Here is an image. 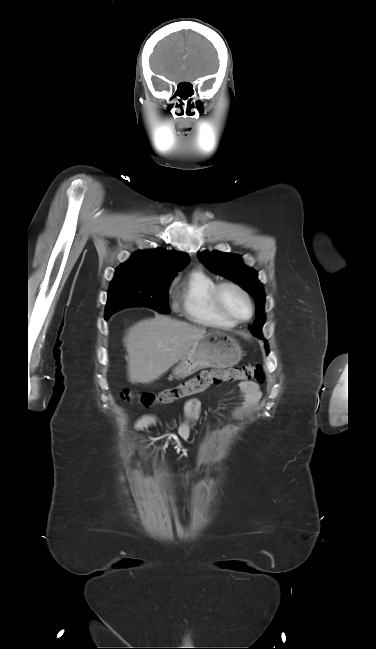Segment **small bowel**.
<instances>
[{
  "label": "small bowel",
  "instance_id": "small-bowel-1",
  "mask_svg": "<svg viewBox=\"0 0 376 649\" xmlns=\"http://www.w3.org/2000/svg\"><path fill=\"white\" fill-rule=\"evenodd\" d=\"M241 395V406L243 411L255 408L261 398L262 392L260 386L254 381H243L239 384ZM183 420L178 426L176 436L183 440H189L192 434L193 424L199 419L202 411L200 400L192 398L187 400L183 406ZM157 422V417L153 414L143 415L136 423L135 428L144 430L154 426Z\"/></svg>",
  "mask_w": 376,
  "mask_h": 649
}]
</instances>
